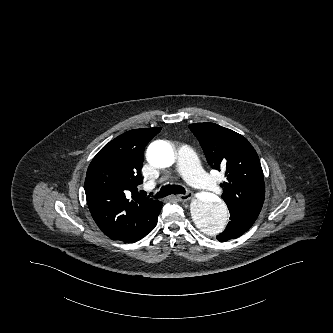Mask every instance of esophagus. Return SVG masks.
Segmentation results:
<instances>
[{
  "instance_id": "obj_1",
  "label": "esophagus",
  "mask_w": 333,
  "mask_h": 333,
  "mask_svg": "<svg viewBox=\"0 0 333 333\" xmlns=\"http://www.w3.org/2000/svg\"><path fill=\"white\" fill-rule=\"evenodd\" d=\"M190 198H191V193L190 192H187L185 194L177 195V199L181 202H186V201L190 200Z\"/></svg>"
}]
</instances>
